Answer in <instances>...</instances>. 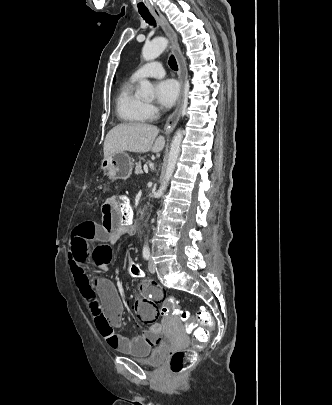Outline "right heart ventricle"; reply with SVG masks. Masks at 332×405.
I'll return each mask as SVG.
<instances>
[{
	"label": "right heart ventricle",
	"instance_id": "e07e8e85",
	"mask_svg": "<svg viewBox=\"0 0 332 405\" xmlns=\"http://www.w3.org/2000/svg\"><path fill=\"white\" fill-rule=\"evenodd\" d=\"M135 83L133 78L125 82L116 97L117 116L127 124H139L149 119L145 102L134 93Z\"/></svg>",
	"mask_w": 332,
	"mask_h": 405
}]
</instances>
